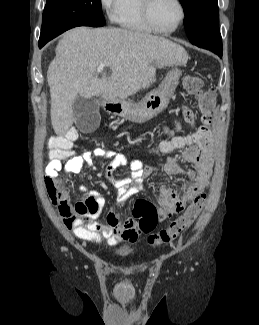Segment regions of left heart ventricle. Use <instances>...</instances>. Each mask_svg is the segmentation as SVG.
Instances as JSON below:
<instances>
[{
  "label": "left heart ventricle",
  "mask_w": 259,
  "mask_h": 325,
  "mask_svg": "<svg viewBox=\"0 0 259 325\" xmlns=\"http://www.w3.org/2000/svg\"><path fill=\"white\" fill-rule=\"evenodd\" d=\"M180 17V10L175 0H154L152 18L162 30L172 29Z\"/></svg>",
  "instance_id": "obj_1"
}]
</instances>
